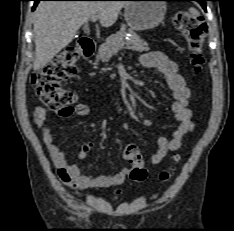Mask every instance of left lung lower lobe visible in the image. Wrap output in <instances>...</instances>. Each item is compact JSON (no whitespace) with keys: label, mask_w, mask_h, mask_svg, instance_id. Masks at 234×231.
<instances>
[{"label":"left lung lower lobe","mask_w":234,"mask_h":231,"mask_svg":"<svg viewBox=\"0 0 234 231\" xmlns=\"http://www.w3.org/2000/svg\"><path fill=\"white\" fill-rule=\"evenodd\" d=\"M167 1H197L202 5L203 9L206 11V3L205 2L209 1V0H167Z\"/></svg>","instance_id":"1"}]
</instances>
